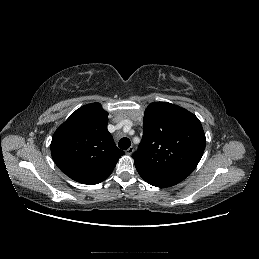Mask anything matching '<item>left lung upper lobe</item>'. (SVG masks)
<instances>
[{
  "label": "left lung upper lobe",
  "instance_id": "obj_1",
  "mask_svg": "<svg viewBox=\"0 0 259 259\" xmlns=\"http://www.w3.org/2000/svg\"><path fill=\"white\" fill-rule=\"evenodd\" d=\"M205 145L194 114L168 102H153L145 110L143 137L132 158L137 165L182 181L198 165Z\"/></svg>",
  "mask_w": 259,
  "mask_h": 259
}]
</instances>
